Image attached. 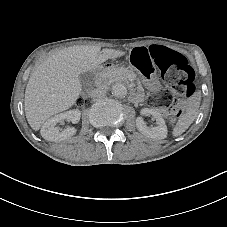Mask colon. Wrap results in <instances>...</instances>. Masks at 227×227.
I'll use <instances>...</instances> for the list:
<instances>
[{"mask_svg":"<svg viewBox=\"0 0 227 227\" xmlns=\"http://www.w3.org/2000/svg\"><path fill=\"white\" fill-rule=\"evenodd\" d=\"M150 58L140 51L133 50L129 56V62L142 74L148 76L152 73L154 65L161 70L164 80L173 91H162L148 98L149 103L160 109L177 106L175 113L170 117V123H174L181 114L180 102L184 98L192 97L196 92L195 76L187 59L180 53L163 46H151ZM84 99L77 100L82 105Z\"/></svg>","mask_w":227,"mask_h":227,"instance_id":"colon-1","label":"colon"}]
</instances>
